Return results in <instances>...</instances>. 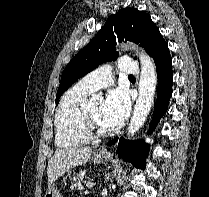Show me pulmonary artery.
Segmentation results:
<instances>
[{
    "label": "pulmonary artery",
    "instance_id": "1",
    "mask_svg": "<svg viewBox=\"0 0 209 197\" xmlns=\"http://www.w3.org/2000/svg\"><path fill=\"white\" fill-rule=\"evenodd\" d=\"M118 67L119 70L125 74H137L139 71L137 64L130 57L121 59ZM112 81V67L110 65H104L84 76L78 84L94 92L109 86Z\"/></svg>",
    "mask_w": 209,
    "mask_h": 197
}]
</instances>
